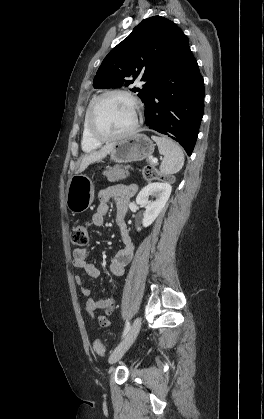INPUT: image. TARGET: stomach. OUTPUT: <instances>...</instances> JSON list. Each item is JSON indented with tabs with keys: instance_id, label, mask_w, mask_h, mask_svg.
I'll list each match as a JSON object with an SVG mask.
<instances>
[{
	"instance_id": "1",
	"label": "stomach",
	"mask_w": 264,
	"mask_h": 419,
	"mask_svg": "<svg viewBox=\"0 0 264 419\" xmlns=\"http://www.w3.org/2000/svg\"><path fill=\"white\" fill-rule=\"evenodd\" d=\"M154 143L144 134H135L129 139L114 143L110 159L117 163L141 161L154 152ZM94 200V185L83 174L74 175L68 184L66 205L75 214L86 211Z\"/></svg>"
}]
</instances>
